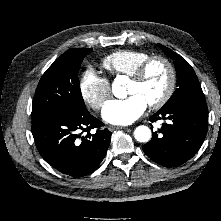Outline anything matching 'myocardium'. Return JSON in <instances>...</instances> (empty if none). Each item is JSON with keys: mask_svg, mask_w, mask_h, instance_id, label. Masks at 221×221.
Listing matches in <instances>:
<instances>
[{"mask_svg": "<svg viewBox=\"0 0 221 221\" xmlns=\"http://www.w3.org/2000/svg\"><path fill=\"white\" fill-rule=\"evenodd\" d=\"M156 61L162 62L168 70V84L163 95L156 101L149 103L151 109H159L163 107L172 97L177 81L176 69L173 63L165 56L153 55L144 60L137 66L134 72L130 75V80L133 82H140L146 75L150 65Z\"/></svg>", "mask_w": 221, "mask_h": 221, "instance_id": "1", "label": "myocardium"}]
</instances>
